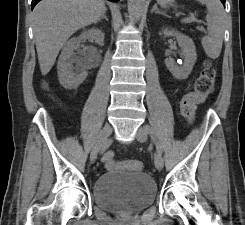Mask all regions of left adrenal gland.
<instances>
[{
    "label": "left adrenal gland",
    "instance_id": "a2214340",
    "mask_svg": "<svg viewBox=\"0 0 245 225\" xmlns=\"http://www.w3.org/2000/svg\"><path fill=\"white\" fill-rule=\"evenodd\" d=\"M153 12H155L156 14H163L162 12H160V11L158 10L156 4L153 6V9L151 10V13H153Z\"/></svg>",
    "mask_w": 245,
    "mask_h": 225
}]
</instances>
